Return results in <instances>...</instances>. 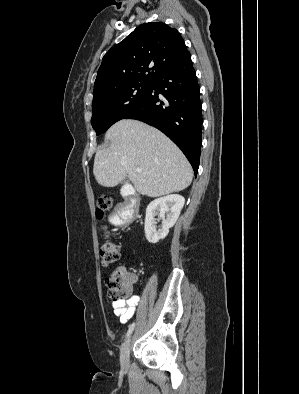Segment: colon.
<instances>
[{
  "mask_svg": "<svg viewBox=\"0 0 299 394\" xmlns=\"http://www.w3.org/2000/svg\"><path fill=\"white\" fill-rule=\"evenodd\" d=\"M113 206V199L109 196H101L97 201V215L103 218ZM120 255L119 246L111 239H106L99 248L100 262L103 266L114 264ZM107 287L111 296L116 301H126L132 297L134 278L126 267L117 268L110 278H108Z\"/></svg>",
  "mask_w": 299,
  "mask_h": 394,
  "instance_id": "obj_1",
  "label": "colon"
}]
</instances>
